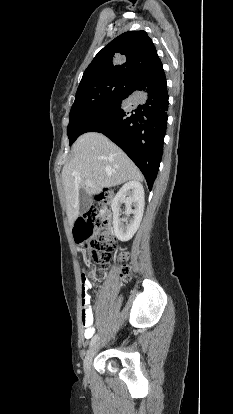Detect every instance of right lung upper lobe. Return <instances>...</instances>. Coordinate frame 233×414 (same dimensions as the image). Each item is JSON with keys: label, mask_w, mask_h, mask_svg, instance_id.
<instances>
[{"label": "right lung upper lobe", "mask_w": 233, "mask_h": 414, "mask_svg": "<svg viewBox=\"0 0 233 414\" xmlns=\"http://www.w3.org/2000/svg\"><path fill=\"white\" fill-rule=\"evenodd\" d=\"M163 70L156 48L145 31H128L105 46L89 64L78 90L103 79L137 81Z\"/></svg>", "instance_id": "right-lung-upper-lobe-1"}]
</instances>
